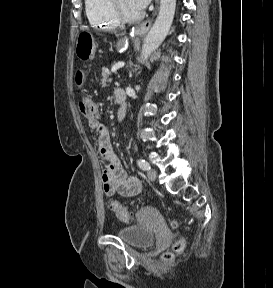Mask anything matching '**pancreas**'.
Wrapping results in <instances>:
<instances>
[{
  "mask_svg": "<svg viewBox=\"0 0 273 288\" xmlns=\"http://www.w3.org/2000/svg\"><path fill=\"white\" fill-rule=\"evenodd\" d=\"M110 75H111V73H110V71L108 69H103L102 70V81H101V84L103 86H105L107 82H111L112 81V79L110 78Z\"/></svg>",
  "mask_w": 273,
  "mask_h": 288,
  "instance_id": "1",
  "label": "pancreas"
}]
</instances>
